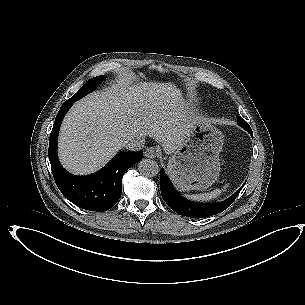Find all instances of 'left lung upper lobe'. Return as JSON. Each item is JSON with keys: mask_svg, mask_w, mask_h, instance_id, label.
Segmentation results:
<instances>
[{"mask_svg": "<svg viewBox=\"0 0 305 305\" xmlns=\"http://www.w3.org/2000/svg\"><path fill=\"white\" fill-rule=\"evenodd\" d=\"M237 119H238V124L242 128H244L246 131H248V133H250V135H252V130H251L249 124L239 115H237ZM200 210H201V208L198 205L187 204L186 209L184 210L186 214H184L183 216H188V217H192V218H200L198 216V215H200Z\"/></svg>", "mask_w": 305, "mask_h": 305, "instance_id": "5c2ea615", "label": "left lung upper lobe"}]
</instances>
